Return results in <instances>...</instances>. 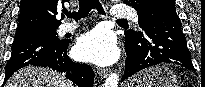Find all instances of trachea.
<instances>
[{"label": "trachea", "mask_w": 205, "mask_h": 87, "mask_svg": "<svg viewBox=\"0 0 205 87\" xmlns=\"http://www.w3.org/2000/svg\"><path fill=\"white\" fill-rule=\"evenodd\" d=\"M92 9H96L99 14H105L102 5L99 0H79L78 12L65 11V15L69 18H73L75 21L80 20L88 16ZM117 22H127L125 19H119Z\"/></svg>", "instance_id": "1"}]
</instances>
